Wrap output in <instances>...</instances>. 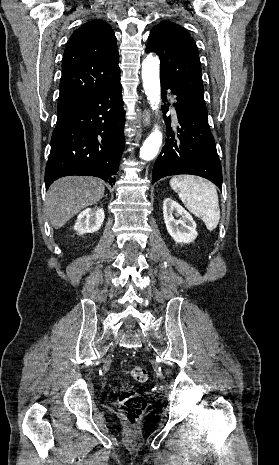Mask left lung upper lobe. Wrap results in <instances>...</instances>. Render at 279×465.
Returning <instances> with one entry per match:
<instances>
[{
	"mask_svg": "<svg viewBox=\"0 0 279 465\" xmlns=\"http://www.w3.org/2000/svg\"><path fill=\"white\" fill-rule=\"evenodd\" d=\"M156 52L161 62V80L207 114L204 103L201 63L197 46L180 25L162 21L152 28L146 52Z\"/></svg>",
	"mask_w": 279,
	"mask_h": 465,
	"instance_id": "1",
	"label": "left lung upper lobe"
}]
</instances>
